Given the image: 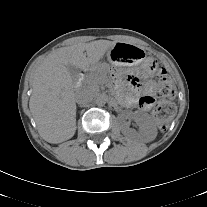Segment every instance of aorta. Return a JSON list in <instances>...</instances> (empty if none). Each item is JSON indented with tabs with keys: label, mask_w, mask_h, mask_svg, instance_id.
<instances>
[{
	"label": "aorta",
	"mask_w": 207,
	"mask_h": 207,
	"mask_svg": "<svg viewBox=\"0 0 207 207\" xmlns=\"http://www.w3.org/2000/svg\"><path fill=\"white\" fill-rule=\"evenodd\" d=\"M108 101V96L106 94H100L96 97V104L98 106H104Z\"/></svg>",
	"instance_id": "aorta-1"
}]
</instances>
